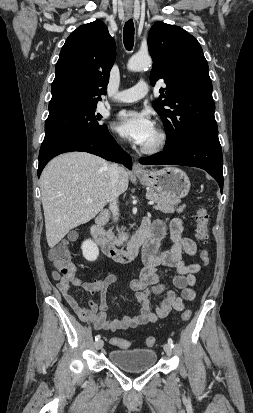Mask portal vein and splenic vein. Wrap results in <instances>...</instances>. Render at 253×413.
I'll return each instance as SVG.
<instances>
[{
    "label": "portal vein and splenic vein",
    "mask_w": 253,
    "mask_h": 413,
    "mask_svg": "<svg viewBox=\"0 0 253 413\" xmlns=\"http://www.w3.org/2000/svg\"><path fill=\"white\" fill-rule=\"evenodd\" d=\"M92 200L91 199H87L86 200V202H91ZM155 202L153 201V200H150L149 202H148V204L149 205H153Z\"/></svg>",
    "instance_id": "obj_1"
}]
</instances>
